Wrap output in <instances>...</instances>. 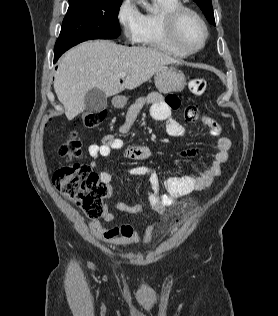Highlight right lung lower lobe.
<instances>
[{
	"label": "right lung lower lobe",
	"mask_w": 278,
	"mask_h": 316,
	"mask_svg": "<svg viewBox=\"0 0 278 316\" xmlns=\"http://www.w3.org/2000/svg\"><path fill=\"white\" fill-rule=\"evenodd\" d=\"M62 53H54V62L61 56Z\"/></svg>",
	"instance_id": "right-lung-lower-lobe-1"
}]
</instances>
